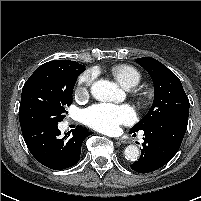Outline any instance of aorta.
Wrapping results in <instances>:
<instances>
[{
  "instance_id": "1",
  "label": "aorta",
  "mask_w": 201,
  "mask_h": 201,
  "mask_svg": "<svg viewBox=\"0 0 201 201\" xmlns=\"http://www.w3.org/2000/svg\"><path fill=\"white\" fill-rule=\"evenodd\" d=\"M119 92L117 85L107 80H98L91 86L92 96L102 102L113 101ZM124 155L127 160L136 161L140 156L139 148L129 145L125 148Z\"/></svg>"
}]
</instances>
